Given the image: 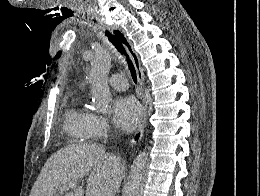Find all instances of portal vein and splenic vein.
Segmentation results:
<instances>
[{"label": "portal vein and splenic vein", "instance_id": "portal-vein-and-splenic-vein-1", "mask_svg": "<svg viewBox=\"0 0 260 196\" xmlns=\"http://www.w3.org/2000/svg\"><path fill=\"white\" fill-rule=\"evenodd\" d=\"M74 188H77V184H69V186H66V188H60V192H66V190H74Z\"/></svg>", "mask_w": 260, "mask_h": 196}]
</instances>
